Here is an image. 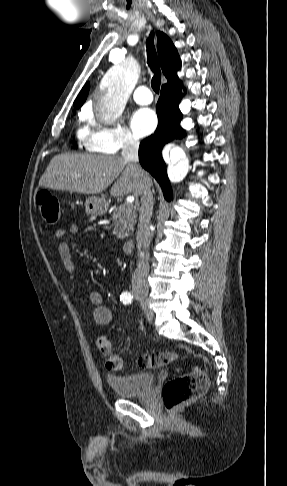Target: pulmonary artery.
<instances>
[{
  "mask_svg": "<svg viewBox=\"0 0 287 486\" xmlns=\"http://www.w3.org/2000/svg\"><path fill=\"white\" fill-rule=\"evenodd\" d=\"M133 99L138 104L147 105L153 101V96L147 86H139L133 93Z\"/></svg>",
  "mask_w": 287,
  "mask_h": 486,
  "instance_id": "e3ab8cb5",
  "label": "pulmonary artery"
}]
</instances>
